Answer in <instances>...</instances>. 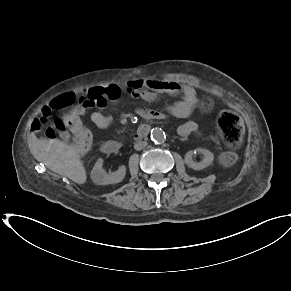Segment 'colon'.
Wrapping results in <instances>:
<instances>
[{
  "label": "colon",
  "mask_w": 291,
  "mask_h": 291,
  "mask_svg": "<svg viewBox=\"0 0 291 291\" xmlns=\"http://www.w3.org/2000/svg\"><path fill=\"white\" fill-rule=\"evenodd\" d=\"M80 99L74 92H65L55 97L51 102L43 103V116H38L33 125L45 120L44 116L50 115L52 111L72 109L70 113L61 118L44 123L46 137L53 139L57 133L69 132L72 136V145L78 152H84L92 144L90 131L80 120ZM219 131L230 146L238 145L243 137L244 126L240 117L232 111H221L217 118ZM220 161L225 165H231L237 161L235 152L228 150L220 154Z\"/></svg>",
  "instance_id": "1"
}]
</instances>
